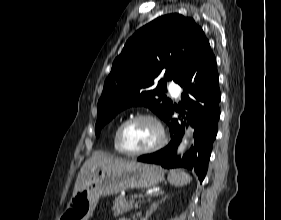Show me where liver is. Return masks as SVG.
Here are the masks:
<instances>
[{
    "mask_svg": "<svg viewBox=\"0 0 281 220\" xmlns=\"http://www.w3.org/2000/svg\"><path fill=\"white\" fill-rule=\"evenodd\" d=\"M133 161H127L115 158L105 153L95 152L81 167L75 182L73 196L82 188L83 184L98 169H117L132 164Z\"/></svg>",
    "mask_w": 281,
    "mask_h": 220,
    "instance_id": "obj_1",
    "label": "liver"
}]
</instances>
